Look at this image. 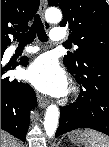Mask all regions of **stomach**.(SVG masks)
I'll return each mask as SVG.
<instances>
[{"label":"stomach","instance_id":"stomach-1","mask_svg":"<svg viewBox=\"0 0 109 147\" xmlns=\"http://www.w3.org/2000/svg\"><path fill=\"white\" fill-rule=\"evenodd\" d=\"M86 131V130H85ZM85 131L76 130L68 134V138L74 144L79 146L80 144L86 143Z\"/></svg>","mask_w":109,"mask_h":147}]
</instances>
